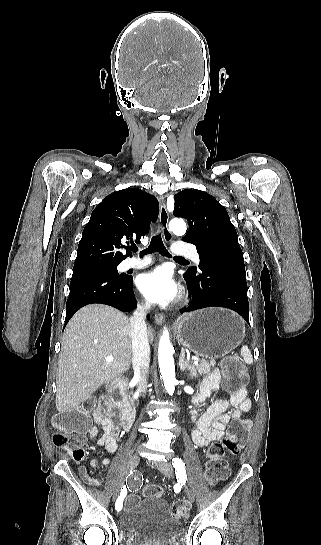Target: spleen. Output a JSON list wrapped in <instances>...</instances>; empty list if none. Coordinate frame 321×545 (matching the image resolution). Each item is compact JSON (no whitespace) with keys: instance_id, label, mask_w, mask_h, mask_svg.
<instances>
[{"instance_id":"3e777b00","label":"spleen","mask_w":321,"mask_h":545,"mask_svg":"<svg viewBox=\"0 0 321 545\" xmlns=\"http://www.w3.org/2000/svg\"><path fill=\"white\" fill-rule=\"evenodd\" d=\"M241 357H243L245 363H247V365H252L253 363V357L248 349V347H246V345H244V347H242L241 349Z\"/></svg>"}]
</instances>
